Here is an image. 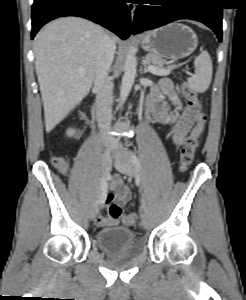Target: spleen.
I'll return each instance as SVG.
<instances>
[{
    "mask_svg": "<svg viewBox=\"0 0 246 300\" xmlns=\"http://www.w3.org/2000/svg\"><path fill=\"white\" fill-rule=\"evenodd\" d=\"M195 74L188 79L190 87L197 93H204L210 86L212 80V60L207 51L194 60Z\"/></svg>",
    "mask_w": 246,
    "mask_h": 300,
    "instance_id": "1",
    "label": "spleen"
}]
</instances>
